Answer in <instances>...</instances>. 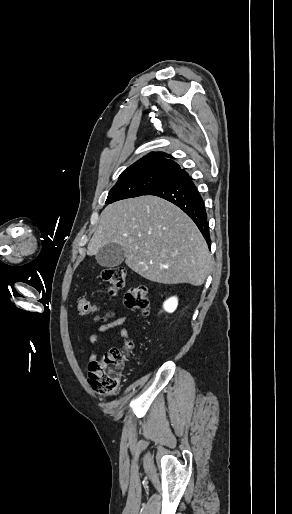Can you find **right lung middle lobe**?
<instances>
[{
    "label": "right lung middle lobe",
    "instance_id": "dd1d6c3e",
    "mask_svg": "<svg viewBox=\"0 0 292 514\" xmlns=\"http://www.w3.org/2000/svg\"><path fill=\"white\" fill-rule=\"evenodd\" d=\"M165 172H142L120 175L110 190L106 203L144 195L149 189L168 178Z\"/></svg>",
    "mask_w": 292,
    "mask_h": 514
}]
</instances>
